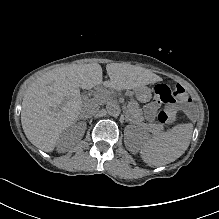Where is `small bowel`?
<instances>
[{
  "label": "small bowel",
  "instance_id": "1",
  "mask_svg": "<svg viewBox=\"0 0 219 219\" xmlns=\"http://www.w3.org/2000/svg\"><path fill=\"white\" fill-rule=\"evenodd\" d=\"M173 99L172 92L168 86L161 84L155 88L154 100L145 108V115L147 119L153 120L162 103H168ZM179 109L184 111L187 115L193 116L195 113V106L190 99L180 101Z\"/></svg>",
  "mask_w": 219,
  "mask_h": 219
}]
</instances>
